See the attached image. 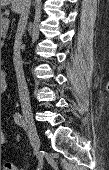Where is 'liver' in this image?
Segmentation results:
<instances>
[{
  "instance_id": "obj_1",
  "label": "liver",
  "mask_w": 109,
  "mask_h": 170,
  "mask_svg": "<svg viewBox=\"0 0 109 170\" xmlns=\"http://www.w3.org/2000/svg\"><path fill=\"white\" fill-rule=\"evenodd\" d=\"M25 0H1V5L5 6L11 4V10L15 13H20L23 8Z\"/></svg>"
}]
</instances>
